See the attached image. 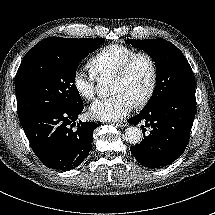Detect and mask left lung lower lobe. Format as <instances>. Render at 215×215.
<instances>
[{
    "instance_id": "obj_1",
    "label": "left lung lower lobe",
    "mask_w": 215,
    "mask_h": 215,
    "mask_svg": "<svg viewBox=\"0 0 215 215\" xmlns=\"http://www.w3.org/2000/svg\"><path fill=\"white\" fill-rule=\"evenodd\" d=\"M196 113L195 88L172 94L130 118V124L145 121L150 134L131 147L138 162L159 168L174 162L185 150ZM143 131L144 126H142Z\"/></svg>"
}]
</instances>
